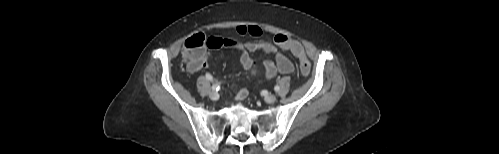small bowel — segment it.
<instances>
[{
    "mask_svg": "<svg viewBox=\"0 0 499 154\" xmlns=\"http://www.w3.org/2000/svg\"><path fill=\"white\" fill-rule=\"evenodd\" d=\"M236 31L240 35H251L254 37H258L262 33L260 28L257 26L245 25L238 26ZM208 48L209 52L207 53L205 60L199 67H190L191 72H196L199 69L206 67L212 59V51L219 48H227L236 51L239 54L241 65L245 70H249L253 66V60L249 56V53L260 51L268 56H272L274 61L267 60L264 62L265 79L267 81L274 78L277 72L281 74H289L294 69L290 59L280 49H278L275 44L268 40L241 42L239 40L229 38L210 37L208 39ZM247 95L248 91L242 88L237 92L235 98L237 100H243L247 97Z\"/></svg>",
    "mask_w": 499,
    "mask_h": 154,
    "instance_id": "small-bowel-1",
    "label": "small bowel"
}]
</instances>
